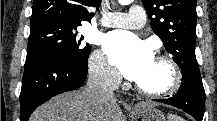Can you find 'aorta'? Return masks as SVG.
I'll list each match as a JSON object with an SVG mask.
<instances>
[{
	"label": "aorta",
	"instance_id": "762f6f07",
	"mask_svg": "<svg viewBox=\"0 0 217 121\" xmlns=\"http://www.w3.org/2000/svg\"><path fill=\"white\" fill-rule=\"evenodd\" d=\"M119 1V3L121 4V5H128V4H130L133 0H118Z\"/></svg>",
	"mask_w": 217,
	"mask_h": 121
}]
</instances>
